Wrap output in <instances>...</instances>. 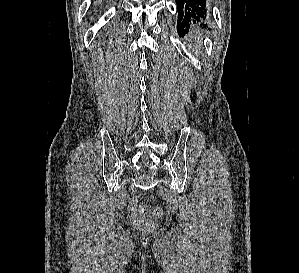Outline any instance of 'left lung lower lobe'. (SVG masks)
<instances>
[{
	"mask_svg": "<svg viewBox=\"0 0 299 273\" xmlns=\"http://www.w3.org/2000/svg\"><path fill=\"white\" fill-rule=\"evenodd\" d=\"M178 8L177 31L183 36L191 24L204 20L207 16L206 0H176Z\"/></svg>",
	"mask_w": 299,
	"mask_h": 273,
	"instance_id": "obj_1",
	"label": "left lung lower lobe"
}]
</instances>
